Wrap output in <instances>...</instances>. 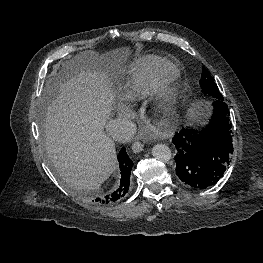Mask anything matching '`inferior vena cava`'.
<instances>
[{"label":"inferior vena cava","instance_id":"1","mask_svg":"<svg viewBox=\"0 0 263 263\" xmlns=\"http://www.w3.org/2000/svg\"><path fill=\"white\" fill-rule=\"evenodd\" d=\"M106 130L114 141L126 143L133 138L135 127L132 122L122 118L110 120Z\"/></svg>","mask_w":263,"mask_h":263}]
</instances>
